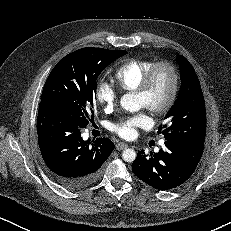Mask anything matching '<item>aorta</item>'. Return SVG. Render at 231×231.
Masks as SVG:
<instances>
[{
	"label": "aorta",
	"mask_w": 231,
	"mask_h": 231,
	"mask_svg": "<svg viewBox=\"0 0 231 231\" xmlns=\"http://www.w3.org/2000/svg\"><path fill=\"white\" fill-rule=\"evenodd\" d=\"M120 105L129 112H136L141 108L137 96L133 93L123 95L120 99ZM122 158L125 162H133L136 159V152L133 149H125L122 152Z\"/></svg>",
	"instance_id": "aorta-1"
}]
</instances>
